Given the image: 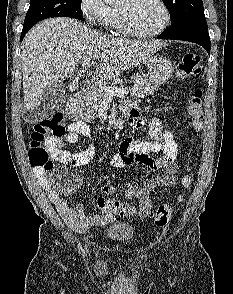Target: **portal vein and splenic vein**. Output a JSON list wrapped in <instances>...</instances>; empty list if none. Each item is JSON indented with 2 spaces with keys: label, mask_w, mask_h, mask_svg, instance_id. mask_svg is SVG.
<instances>
[{
  "label": "portal vein and splenic vein",
  "mask_w": 233,
  "mask_h": 294,
  "mask_svg": "<svg viewBox=\"0 0 233 294\" xmlns=\"http://www.w3.org/2000/svg\"><path fill=\"white\" fill-rule=\"evenodd\" d=\"M81 66L85 70L88 69L91 66L90 59L83 60ZM95 85L98 87V90L102 92L107 98H112L114 96H123L128 94L129 92L127 88L114 89V88L103 86L100 83H96V82H95Z\"/></svg>",
  "instance_id": "portal-vein-and-splenic-vein-1"
}]
</instances>
